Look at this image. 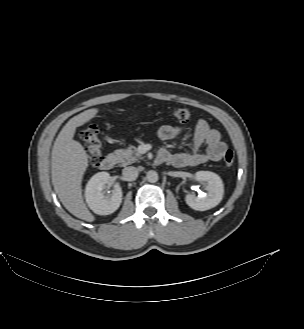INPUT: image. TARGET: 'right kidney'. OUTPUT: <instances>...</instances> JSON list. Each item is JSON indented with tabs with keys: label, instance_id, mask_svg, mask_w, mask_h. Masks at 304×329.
Returning <instances> with one entry per match:
<instances>
[{
	"label": "right kidney",
	"instance_id": "right-kidney-1",
	"mask_svg": "<svg viewBox=\"0 0 304 329\" xmlns=\"http://www.w3.org/2000/svg\"><path fill=\"white\" fill-rule=\"evenodd\" d=\"M110 183L107 172L96 173L88 181L85 188V198L89 208L96 214L109 215L115 212L122 202V189L119 183L114 184L110 197H105V185Z\"/></svg>",
	"mask_w": 304,
	"mask_h": 329
}]
</instances>
